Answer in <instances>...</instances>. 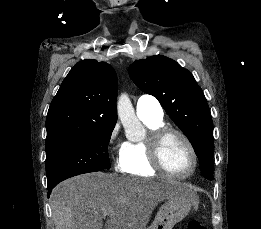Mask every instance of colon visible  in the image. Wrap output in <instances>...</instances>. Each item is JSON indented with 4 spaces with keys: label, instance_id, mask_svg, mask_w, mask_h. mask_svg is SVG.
<instances>
[{
    "label": "colon",
    "instance_id": "obj_1",
    "mask_svg": "<svg viewBox=\"0 0 261 229\" xmlns=\"http://www.w3.org/2000/svg\"><path fill=\"white\" fill-rule=\"evenodd\" d=\"M186 229H207V227L199 220H191L187 224Z\"/></svg>",
    "mask_w": 261,
    "mask_h": 229
}]
</instances>
